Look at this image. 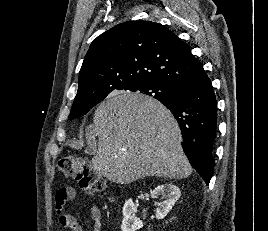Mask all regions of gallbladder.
Instances as JSON below:
<instances>
[{
    "label": "gallbladder",
    "mask_w": 268,
    "mask_h": 231,
    "mask_svg": "<svg viewBox=\"0 0 268 231\" xmlns=\"http://www.w3.org/2000/svg\"><path fill=\"white\" fill-rule=\"evenodd\" d=\"M87 152L89 153V154H94L95 153V148L91 145V146H88V148H87Z\"/></svg>",
    "instance_id": "obj_1"
}]
</instances>
